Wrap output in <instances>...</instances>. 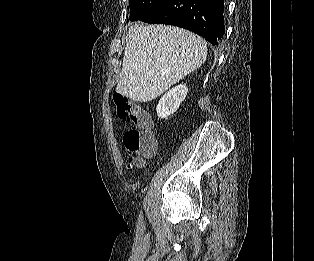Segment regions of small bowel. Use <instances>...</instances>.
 Instances as JSON below:
<instances>
[{
  "instance_id": "c3829d8e",
  "label": "small bowel",
  "mask_w": 314,
  "mask_h": 261,
  "mask_svg": "<svg viewBox=\"0 0 314 261\" xmlns=\"http://www.w3.org/2000/svg\"><path fill=\"white\" fill-rule=\"evenodd\" d=\"M137 165L138 166H142L143 165V160L141 159Z\"/></svg>"
}]
</instances>
